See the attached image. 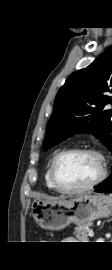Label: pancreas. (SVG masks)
<instances>
[{
    "label": "pancreas",
    "instance_id": "cf45deb5",
    "mask_svg": "<svg viewBox=\"0 0 112 270\" xmlns=\"http://www.w3.org/2000/svg\"><path fill=\"white\" fill-rule=\"evenodd\" d=\"M90 223L78 226L74 230L75 237L79 240V242H88V232Z\"/></svg>",
    "mask_w": 112,
    "mask_h": 270
}]
</instances>
